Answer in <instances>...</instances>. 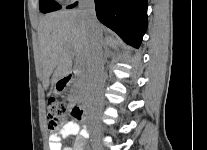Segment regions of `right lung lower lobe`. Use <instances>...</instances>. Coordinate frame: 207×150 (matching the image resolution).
Masks as SVG:
<instances>
[{
	"label": "right lung lower lobe",
	"instance_id": "1",
	"mask_svg": "<svg viewBox=\"0 0 207 150\" xmlns=\"http://www.w3.org/2000/svg\"><path fill=\"white\" fill-rule=\"evenodd\" d=\"M98 20L138 48L147 28V0H94ZM77 2L67 8H73Z\"/></svg>",
	"mask_w": 207,
	"mask_h": 150
}]
</instances>
